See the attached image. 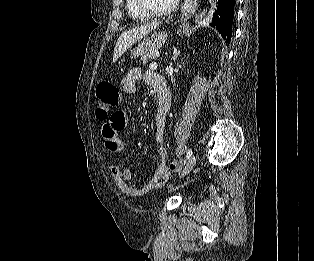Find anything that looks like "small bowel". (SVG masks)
<instances>
[{
  "instance_id": "1",
  "label": "small bowel",
  "mask_w": 314,
  "mask_h": 261,
  "mask_svg": "<svg viewBox=\"0 0 314 261\" xmlns=\"http://www.w3.org/2000/svg\"><path fill=\"white\" fill-rule=\"evenodd\" d=\"M141 69L134 67L129 70L127 75L121 81V88L126 95L134 94L136 83L142 78ZM158 74L148 72L144 75L145 81L155 88ZM129 122V117L125 113V109H114V113H110L108 120H104L103 129H101L102 139L105 140V151H121L124 147L123 127ZM155 124V141L158 146L159 164L156 172L151 180L141 187H134L130 184L132 179V171L130 169H122L118 164L109 165L108 169L113 177L118 189L125 195L137 197L148 193L154 187L160 186L169 176V168L166 163L167 151L162 144L164 130L166 127V112L158 111L154 118Z\"/></svg>"
}]
</instances>
